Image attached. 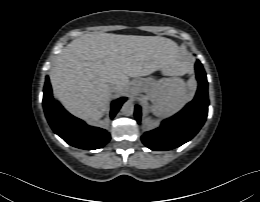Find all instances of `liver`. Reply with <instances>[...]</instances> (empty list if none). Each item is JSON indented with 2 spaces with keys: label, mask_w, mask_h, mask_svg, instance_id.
Masks as SVG:
<instances>
[{
  "label": "liver",
  "mask_w": 260,
  "mask_h": 202,
  "mask_svg": "<svg viewBox=\"0 0 260 202\" xmlns=\"http://www.w3.org/2000/svg\"><path fill=\"white\" fill-rule=\"evenodd\" d=\"M187 71L177 44L164 37L88 33L74 39L57 56L50 72L55 97L73 115L98 121L106 111L111 87L125 92L129 77Z\"/></svg>",
  "instance_id": "liver-1"
}]
</instances>
